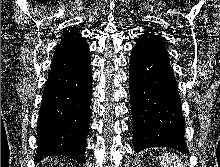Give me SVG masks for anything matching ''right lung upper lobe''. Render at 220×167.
Wrapping results in <instances>:
<instances>
[{"label":"right lung upper lobe","mask_w":220,"mask_h":167,"mask_svg":"<svg viewBox=\"0 0 220 167\" xmlns=\"http://www.w3.org/2000/svg\"><path fill=\"white\" fill-rule=\"evenodd\" d=\"M90 60L85 39L78 28H71L65 32L61 43L55 49L51 73L77 69Z\"/></svg>","instance_id":"obj_1"}]
</instances>
